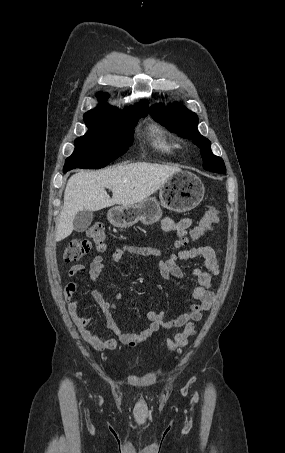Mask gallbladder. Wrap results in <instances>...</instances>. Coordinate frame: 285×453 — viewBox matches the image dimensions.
I'll list each match as a JSON object with an SVG mask.
<instances>
[{"instance_id":"bac80fb5","label":"gallbladder","mask_w":285,"mask_h":453,"mask_svg":"<svg viewBox=\"0 0 285 453\" xmlns=\"http://www.w3.org/2000/svg\"><path fill=\"white\" fill-rule=\"evenodd\" d=\"M93 220V213L91 211L78 212L73 221L74 230L78 233L84 232Z\"/></svg>"}]
</instances>
